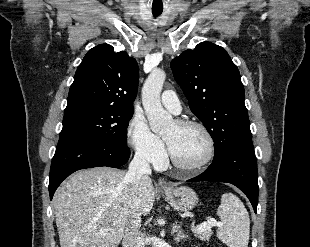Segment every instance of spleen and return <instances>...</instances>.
I'll return each instance as SVG.
<instances>
[{"label": "spleen", "instance_id": "spleen-1", "mask_svg": "<svg viewBox=\"0 0 310 247\" xmlns=\"http://www.w3.org/2000/svg\"><path fill=\"white\" fill-rule=\"evenodd\" d=\"M221 225L217 237L228 247H248L250 219L242 201L232 193H224L217 209Z\"/></svg>", "mask_w": 310, "mask_h": 247}]
</instances>
